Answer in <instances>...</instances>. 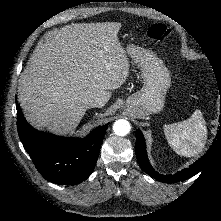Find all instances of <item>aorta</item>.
<instances>
[{
  "label": "aorta",
  "instance_id": "762f6f07",
  "mask_svg": "<svg viewBox=\"0 0 221 221\" xmlns=\"http://www.w3.org/2000/svg\"><path fill=\"white\" fill-rule=\"evenodd\" d=\"M130 130V123L125 119H119L113 125V131L118 136H125L130 132Z\"/></svg>",
  "mask_w": 221,
  "mask_h": 221
}]
</instances>
